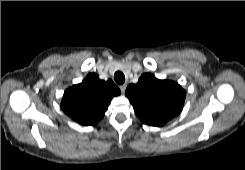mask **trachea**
<instances>
[{
    "mask_svg": "<svg viewBox=\"0 0 245 170\" xmlns=\"http://www.w3.org/2000/svg\"><path fill=\"white\" fill-rule=\"evenodd\" d=\"M114 79H115V81H116L117 84L121 85L125 81V76H124V74L122 72L117 71L114 74Z\"/></svg>",
    "mask_w": 245,
    "mask_h": 170,
    "instance_id": "3493384b",
    "label": "trachea"
}]
</instances>
